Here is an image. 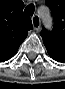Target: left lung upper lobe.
Returning a JSON list of instances; mask_svg holds the SVG:
<instances>
[{"label":"left lung upper lobe","instance_id":"left-lung-upper-lobe-1","mask_svg":"<svg viewBox=\"0 0 65 89\" xmlns=\"http://www.w3.org/2000/svg\"><path fill=\"white\" fill-rule=\"evenodd\" d=\"M54 18L53 31L42 29L41 36L57 43L65 44V0H46Z\"/></svg>","mask_w":65,"mask_h":89}]
</instances>
